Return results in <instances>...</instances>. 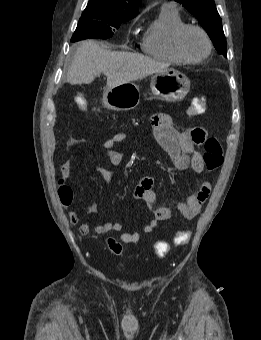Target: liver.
I'll return each instance as SVG.
<instances>
[{"mask_svg": "<svg viewBox=\"0 0 261 340\" xmlns=\"http://www.w3.org/2000/svg\"><path fill=\"white\" fill-rule=\"evenodd\" d=\"M167 69L161 63L147 56L103 49L93 40L81 42L75 52L67 73L71 85L90 84L103 73L107 77V87L112 88Z\"/></svg>", "mask_w": 261, "mask_h": 340, "instance_id": "obj_1", "label": "liver"}]
</instances>
